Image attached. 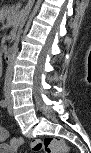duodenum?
<instances>
[{
    "instance_id": "1",
    "label": "duodenum",
    "mask_w": 91,
    "mask_h": 153,
    "mask_svg": "<svg viewBox=\"0 0 91 153\" xmlns=\"http://www.w3.org/2000/svg\"><path fill=\"white\" fill-rule=\"evenodd\" d=\"M15 55V49L13 47H8L3 53V60L6 64H10L13 61Z\"/></svg>"
}]
</instances>
